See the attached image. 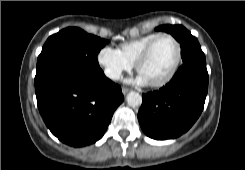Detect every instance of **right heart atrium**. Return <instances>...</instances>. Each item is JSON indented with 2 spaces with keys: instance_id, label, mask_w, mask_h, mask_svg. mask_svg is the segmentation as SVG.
Instances as JSON below:
<instances>
[{
  "instance_id": "1",
  "label": "right heart atrium",
  "mask_w": 245,
  "mask_h": 170,
  "mask_svg": "<svg viewBox=\"0 0 245 170\" xmlns=\"http://www.w3.org/2000/svg\"><path fill=\"white\" fill-rule=\"evenodd\" d=\"M97 59L105 75L113 80L118 79L123 72L129 71L133 66L119 49L110 46H104L99 51Z\"/></svg>"
}]
</instances>
